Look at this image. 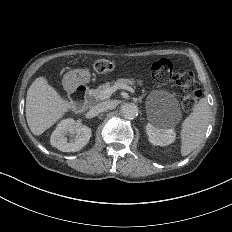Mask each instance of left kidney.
<instances>
[{"instance_id":"obj_1","label":"left kidney","mask_w":232,"mask_h":232,"mask_svg":"<svg viewBox=\"0 0 232 232\" xmlns=\"http://www.w3.org/2000/svg\"><path fill=\"white\" fill-rule=\"evenodd\" d=\"M146 132L152 144L158 146H169L174 140V131L170 126L159 118L152 120L146 126Z\"/></svg>"}]
</instances>
